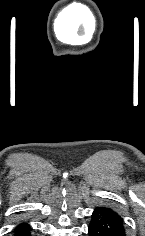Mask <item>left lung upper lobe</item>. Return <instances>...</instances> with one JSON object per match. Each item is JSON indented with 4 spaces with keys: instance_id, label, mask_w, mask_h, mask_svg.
<instances>
[{
    "instance_id": "obj_1",
    "label": "left lung upper lobe",
    "mask_w": 145,
    "mask_h": 236,
    "mask_svg": "<svg viewBox=\"0 0 145 236\" xmlns=\"http://www.w3.org/2000/svg\"><path fill=\"white\" fill-rule=\"evenodd\" d=\"M103 208L106 209V210H109V211L113 212V213L116 214V215H118L117 212L113 211V210L110 209V208H105V207H103ZM118 216H119V215H118ZM119 217H120V216H119Z\"/></svg>"
}]
</instances>
